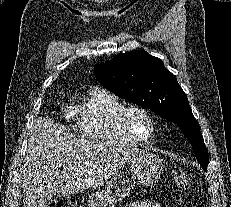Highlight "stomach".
<instances>
[{
	"mask_svg": "<svg viewBox=\"0 0 231 207\" xmlns=\"http://www.w3.org/2000/svg\"><path fill=\"white\" fill-rule=\"evenodd\" d=\"M131 177L138 184L148 186L157 181L163 174V163L158 155L147 151H139L129 159ZM131 190L129 180L122 175L109 179L102 191L89 195L90 207H107L122 201Z\"/></svg>",
	"mask_w": 231,
	"mask_h": 207,
	"instance_id": "1",
	"label": "stomach"
}]
</instances>
